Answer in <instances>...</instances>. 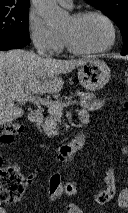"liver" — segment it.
Masks as SVG:
<instances>
[{
	"mask_svg": "<svg viewBox=\"0 0 128 213\" xmlns=\"http://www.w3.org/2000/svg\"><path fill=\"white\" fill-rule=\"evenodd\" d=\"M85 60L45 59L32 51H0V126L21 117L14 104L31 95L55 94L63 88L62 73L82 66Z\"/></svg>",
	"mask_w": 128,
	"mask_h": 213,
	"instance_id": "6515ba94",
	"label": "liver"
}]
</instances>
